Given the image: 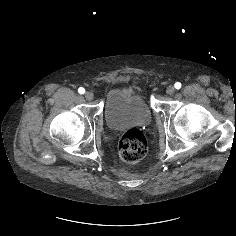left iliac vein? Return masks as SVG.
I'll return each instance as SVG.
<instances>
[{
    "instance_id": "1",
    "label": "left iliac vein",
    "mask_w": 236,
    "mask_h": 236,
    "mask_svg": "<svg viewBox=\"0 0 236 236\" xmlns=\"http://www.w3.org/2000/svg\"><path fill=\"white\" fill-rule=\"evenodd\" d=\"M175 92V88L173 86H168L167 89H166V93L168 95H173Z\"/></svg>"
}]
</instances>
